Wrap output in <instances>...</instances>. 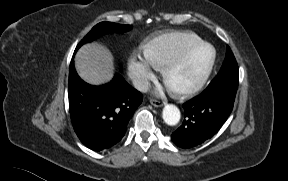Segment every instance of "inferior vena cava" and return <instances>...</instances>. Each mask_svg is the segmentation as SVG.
<instances>
[{
  "label": "inferior vena cava",
  "instance_id": "1",
  "mask_svg": "<svg viewBox=\"0 0 288 181\" xmlns=\"http://www.w3.org/2000/svg\"><path fill=\"white\" fill-rule=\"evenodd\" d=\"M133 85L137 90L141 92H147L151 87L150 82L145 77H136L133 80Z\"/></svg>",
  "mask_w": 288,
  "mask_h": 181
}]
</instances>
